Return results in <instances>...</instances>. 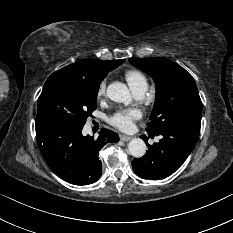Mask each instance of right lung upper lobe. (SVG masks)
<instances>
[{
  "label": "right lung upper lobe",
  "instance_id": "1",
  "mask_svg": "<svg viewBox=\"0 0 233 233\" xmlns=\"http://www.w3.org/2000/svg\"><path fill=\"white\" fill-rule=\"evenodd\" d=\"M125 60H81L59 71L67 72L91 82L102 81L111 70Z\"/></svg>",
  "mask_w": 233,
  "mask_h": 233
}]
</instances>
